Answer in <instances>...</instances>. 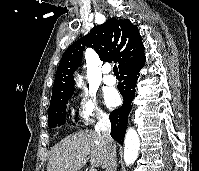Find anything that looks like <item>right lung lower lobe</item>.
<instances>
[{
    "label": "right lung lower lobe",
    "instance_id": "obj_1",
    "mask_svg": "<svg viewBox=\"0 0 199 171\" xmlns=\"http://www.w3.org/2000/svg\"><path fill=\"white\" fill-rule=\"evenodd\" d=\"M145 55L120 69L123 82L118 85L124 102L123 105L114 110L110 115L111 121V136L119 144L123 145L124 136L127 128L128 115L132 108V101L135 96V87L139 75V71L145 64Z\"/></svg>",
    "mask_w": 199,
    "mask_h": 171
}]
</instances>
